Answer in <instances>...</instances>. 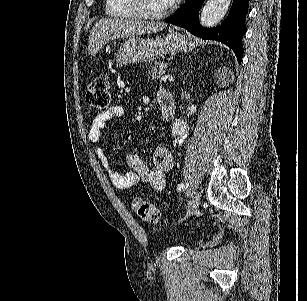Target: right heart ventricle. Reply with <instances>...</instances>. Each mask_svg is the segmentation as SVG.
Instances as JSON below:
<instances>
[{"mask_svg": "<svg viewBox=\"0 0 307 301\" xmlns=\"http://www.w3.org/2000/svg\"><path fill=\"white\" fill-rule=\"evenodd\" d=\"M128 1L131 0H107L104 17H137V10L128 9Z\"/></svg>", "mask_w": 307, "mask_h": 301, "instance_id": "obj_1", "label": "right heart ventricle"}]
</instances>
